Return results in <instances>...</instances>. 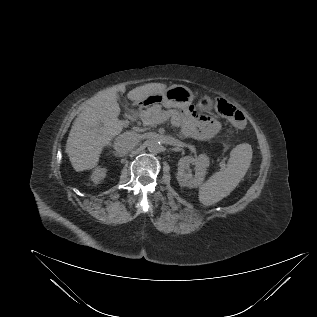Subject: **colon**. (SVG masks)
I'll list each match as a JSON object with an SVG mask.
<instances>
[{"mask_svg":"<svg viewBox=\"0 0 317 317\" xmlns=\"http://www.w3.org/2000/svg\"><path fill=\"white\" fill-rule=\"evenodd\" d=\"M215 109L219 115L229 119L237 128H243L245 126L243 114L226 100H217Z\"/></svg>","mask_w":317,"mask_h":317,"instance_id":"5ec220e1","label":"colon"}]
</instances>
